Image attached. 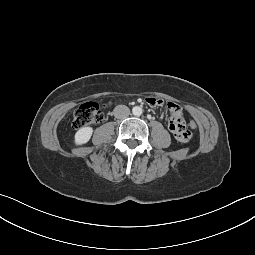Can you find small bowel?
Here are the masks:
<instances>
[{"mask_svg": "<svg viewBox=\"0 0 255 255\" xmlns=\"http://www.w3.org/2000/svg\"><path fill=\"white\" fill-rule=\"evenodd\" d=\"M143 102L147 106H153L161 111H164L165 126L168 133L176 137L181 142H186L190 138V133L186 126L185 112L181 107L175 104L172 100L160 99L156 95H147Z\"/></svg>", "mask_w": 255, "mask_h": 255, "instance_id": "1", "label": "small bowel"}]
</instances>
